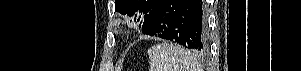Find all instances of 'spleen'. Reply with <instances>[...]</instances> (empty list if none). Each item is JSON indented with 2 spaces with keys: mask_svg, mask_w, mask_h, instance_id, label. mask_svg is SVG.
Returning <instances> with one entry per match:
<instances>
[{
  "mask_svg": "<svg viewBox=\"0 0 301 71\" xmlns=\"http://www.w3.org/2000/svg\"><path fill=\"white\" fill-rule=\"evenodd\" d=\"M149 71H201V65L190 51L174 44L162 43L149 48Z\"/></svg>",
  "mask_w": 301,
  "mask_h": 71,
  "instance_id": "3e777b00",
  "label": "spleen"
}]
</instances>
